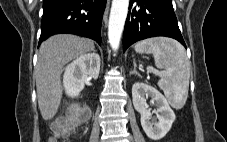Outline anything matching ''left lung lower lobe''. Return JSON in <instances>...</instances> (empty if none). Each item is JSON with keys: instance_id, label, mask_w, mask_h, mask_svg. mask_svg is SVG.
Masks as SVG:
<instances>
[{"instance_id": "obj_1", "label": "left lung lower lobe", "mask_w": 227, "mask_h": 142, "mask_svg": "<svg viewBox=\"0 0 227 142\" xmlns=\"http://www.w3.org/2000/svg\"><path fill=\"white\" fill-rule=\"evenodd\" d=\"M155 36L174 38L186 48L172 0H130L123 33V51L139 40Z\"/></svg>"}]
</instances>
